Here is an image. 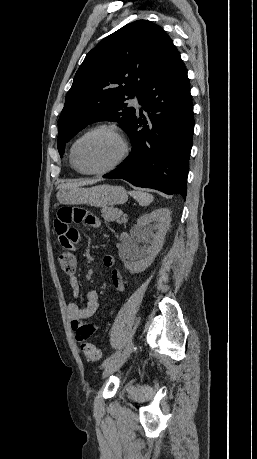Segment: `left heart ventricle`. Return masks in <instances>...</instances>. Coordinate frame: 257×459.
Wrapping results in <instances>:
<instances>
[{
	"label": "left heart ventricle",
	"mask_w": 257,
	"mask_h": 459,
	"mask_svg": "<svg viewBox=\"0 0 257 459\" xmlns=\"http://www.w3.org/2000/svg\"><path fill=\"white\" fill-rule=\"evenodd\" d=\"M121 150V143L116 136L108 131H99L78 144L76 158L83 169L97 170L112 164Z\"/></svg>",
	"instance_id": "b2bd125f"
}]
</instances>
